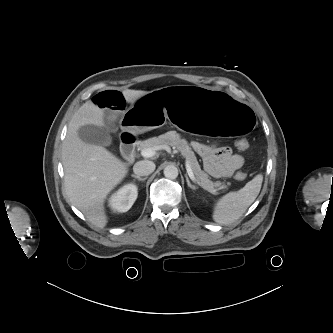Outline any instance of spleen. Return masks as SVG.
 Instances as JSON below:
<instances>
[{
    "label": "spleen",
    "mask_w": 333,
    "mask_h": 333,
    "mask_svg": "<svg viewBox=\"0 0 333 333\" xmlns=\"http://www.w3.org/2000/svg\"><path fill=\"white\" fill-rule=\"evenodd\" d=\"M263 175H256L237 192H229L216 200L213 208V220L228 225L238 220L255 201L261 190Z\"/></svg>",
    "instance_id": "3e777b00"
}]
</instances>
